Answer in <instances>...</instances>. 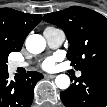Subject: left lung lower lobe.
Here are the masks:
<instances>
[{
  "mask_svg": "<svg viewBox=\"0 0 107 107\" xmlns=\"http://www.w3.org/2000/svg\"><path fill=\"white\" fill-rule=\"evenodd\" d=\"M60 97L66 107H107V73L82 71Z\"/></svg>",
  "mask_w": 107,
  "mask_h": 107,
  "instance_id": "1",
  "label": "left lung lower lobe"
}]
</instances>
